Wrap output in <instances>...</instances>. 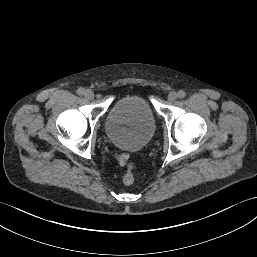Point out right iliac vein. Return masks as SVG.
<instances>
[{"label": "right iliac vein", "instance_id": "right-iliac-vein-1", "mask_svg": "<svg viewBox=\"0 0 257 257\" xmlns=\"http://www.w3.org/2000/svg\"><path fill=\"white\" fill-rule=\"evenodd\" d=\"M84 96H85L87 99L91 100V99L94 98V92H93L92 90H90V89H87V90L85 91V93H84Z\"/></svg>", "mask_w": 257, "mask_h": 257}]
</instances>
